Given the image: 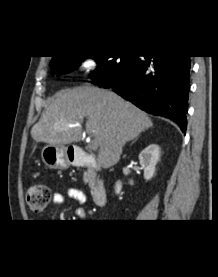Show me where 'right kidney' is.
I'll return each mask as SVG.
<instances>
[{
  "instance_id": "right-kidney-1",
  "label": "right kidney",
  "mask_w": 218,
  "mask_h": 277,
  "mask_svg": "<svg viewBox=\"0 0 218 277\" xmlns=\"http://www.w3.org/2000/svg\"><path fill=\"white\" fill-rule=\"evenodd\" d=\"M160 158V147L157 144H150L139 154L140 165L144 169V179L150 180L155 173V166ZM122 189L121 181L115 184V193L119 194Z\"/></svg>"
}]
</instances>
